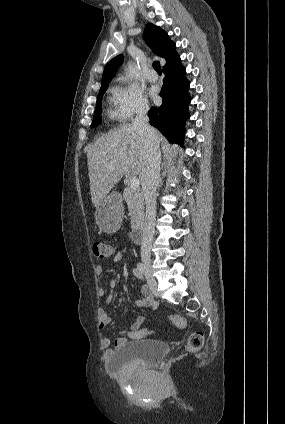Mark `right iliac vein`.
Segmentation results:
<instances>
[{"label": "right iliac vein", "mask_w": 285, "mask_h": 424, "mask_svg": "<svg viewBox=\"0 0 285 424\" xmlns=\"http://www.w3.org/2000/svg\"><path fill=\"white\" fill-rule=\"evenodd\" d=\"M143 266H144V269H145V275H146V278H147V281H148L150 288L153 291H156L157 290V282H156V280L153 277L152 272H151V260L147 257H144L143 258Z\"/></svg>", "instance_id": "1"}]
</instances>
